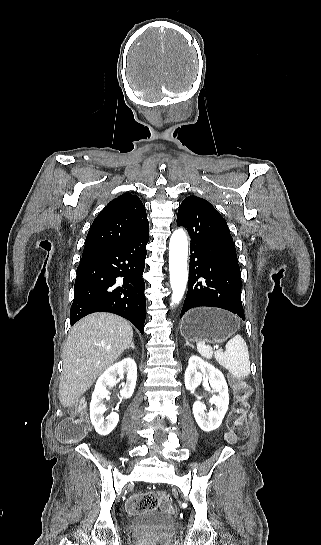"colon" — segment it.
Wrapping results in <instances>:
<instances>
[{"label": "colon", "instance_id": "obj_1", "mask_svg": "<svg viewBox=\"0 0 321 545\" xmlns=\"http://www.w3.org/2000/svg\"><path fill=\"white\" fill-rule=\"evenodd\" d=\"M235 403L233 411L228 419L227 439L230 442L243 440L248 436V426L246 418L247 400L250 396L249 386L235 380L233 383ZM89 423L83 404L77 405L73 409L72 417L64 420L57 430L59 439L64 443H78L87 434ZM161 507L167 512H172L173 508L166 497H159L156 493L145 492L134 495L126 503V509L129 513H140L143 511L156 510Z\"/></svg>", "mask_w": 321, "mask_h": 545}]
</instances>
